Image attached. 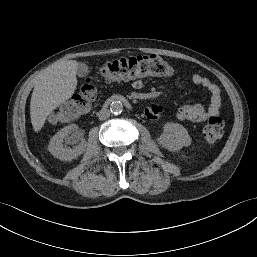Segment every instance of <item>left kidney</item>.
<instances>
[{"instance_id": "5707ae66", "label": "left kidney", "mask_w": 257, "mask_h": 257, "mask_svg": "<svg viewBox=\"0 0 257 257\" xmlns=\"http://www.w3.org/2000/svg\"><path fill=\"white\" fill-rule=\"evenodd\" d=\"M159 144L170 150L178 151L191 144V138L186 128L177 123H166L164 130L159 138Z\"/></svg>"}]
</instances>
